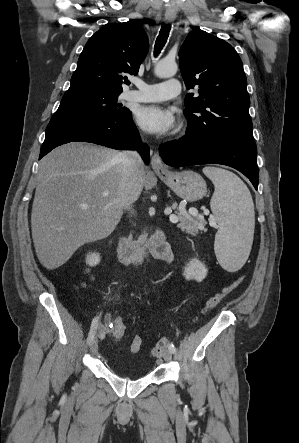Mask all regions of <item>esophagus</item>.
Instances as JSON below:
<instances>
[{"label": "esophagus", "instance_id": "1", "mask_svg": "<svg viewBox=\"0 0 299 443\" xmlns=\"http://www.w3.org/2000/svg\"><path fill=\"white\" fill-rule=\"evenodd\" d=\"M176 14L174 11L172 10H167L165 12V21L166 22H171L174 20ZM151 166L152 169L156 172V173H163L167 171V167L165 166V164L163 163L161 157L159 156L158 153H154L152 158H151Z\"/></svg>", "mask_w": 299, "mask_h": 443}]
</instances>
